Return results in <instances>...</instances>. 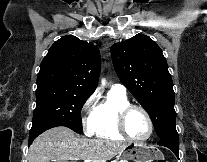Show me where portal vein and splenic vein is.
<instances>
[{
    "label": "portal vein and splenic vein",
    "mask_w": 207,
    "mask_h": 162,
    "mask_svg": "<svg viewBox=\"0 0 207 162\" xmlns=\"http://www.w3.org/2000/svg\"><path fill=\"white\" fill-rule=\"evenodd\" d=\"M84 162H104V161H98V160H85Z\"/></svg>",
    "instance_id": "obj_1"
}]
</instances>
